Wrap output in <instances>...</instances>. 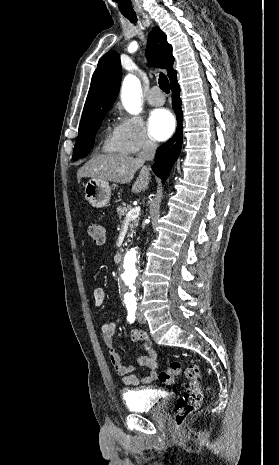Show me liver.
<instances>
[{"instance_id": "1", "label": "liver", "mask_w": 279, "mask_h": 465, "mask_svg": "<svg viewBox=\"0 0 279 465\" xmlns=\"http://www.w3.org/2000/svg\"><path fill=\"white\" fill-rule=\"evenodd\" d=\"M140 173L132 186L133 193L148 189L150 181L149 168L138 158L123 154L96 155L86 162L77 172V180L90 177L100 181L120 184L129 183L137 170Z\"/></svg>"}]
</instances>
